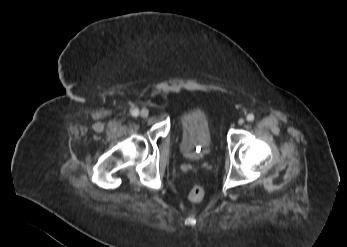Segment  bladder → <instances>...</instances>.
<instances>
[{"mask_svg":"<svg viewBox=\"0 0 347 247\" xmlns=\"http://www.w3.org/2000/svg\"><path fill=\"white\" fill-rule=\"evenodd\" d=\"M180 149L189 161L202 160L212 145L211 124L199 107L183 112L179 117Z\"/></svg>","mask_w":347,"mask_h":247,"instance_id":"bladder-1","label":"bladder"}]
</instances>
